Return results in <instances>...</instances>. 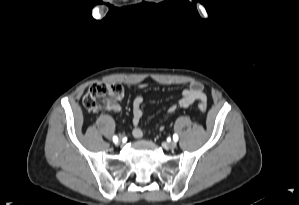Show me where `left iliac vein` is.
<instances>
[{
	"label": "left iliac vein",
	"instance_id": "left-iliac-vein-1",
	"mask_svg": "<svg viewBox=\"0 0 299 205\" xmlns=\"http://www.w3.org/2000/svg\"><path fill=\"white\" fill-rule=\"evenodd\" d=\"M176 146H177L176 141H170V142H168V143L165 144V147L167 149H174V148H176Z\"/></svg>",
	"mask_w": 299,
	"mask_h": 205
}]
</instances>
